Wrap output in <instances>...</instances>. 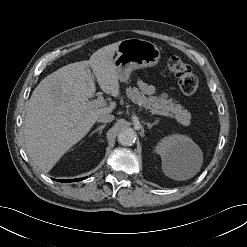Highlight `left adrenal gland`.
Listing matches in <instances>:
<instances>
[{
  "label": "left adrenal gland",
  "mask_w": 247,
  "mask_h": 247,
  "mask_svg": "<svg viewBox=\"0 0 247 247\" xmlns=\"http://www.w3.org/2000/svg\"><path fill=\"white\" fill-rule=\"evenodd\" d=\"M158 123V120L153 122V123H147V126L149 129H151L154 125H156Z\"/></svg>",
  "instance_id": "obj_1"
}]
</instances>
